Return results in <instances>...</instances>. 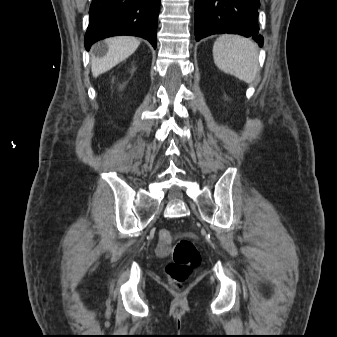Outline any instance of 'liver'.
<instances>
[{"label": "liver", "instance_id": "1", "mask_svg": "<svg viewBox=\"0 0 337 337\" xmlns=\"http://www.w3.org/2000/svg\"><path fill=\"white\" fill-rule=\"evenodd\" d=\"M107 52L101 58L92 59L91 70L93 77L112 69L121 61L127 59L138 48L140 41L131 36H117L104 41Z\"/></svg>", "mask_w": 337, "mask_h": 337}]
</instances>
